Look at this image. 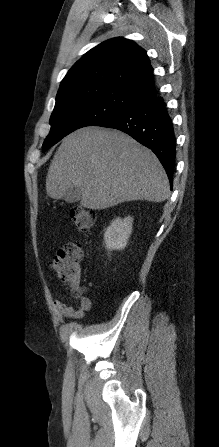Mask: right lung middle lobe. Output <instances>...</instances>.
<instances>
[{
	"mask_svg": "<svg viewBox=\"0 0 219 447\" xmlns=\"http://www.w3.org/2000/svg\"><path fill=\"white\" fill-rule=\"evenodd\" d=\"M139 102L138 98L111 86L77 85L60 89L42 151L76 129L97 125Z\"/></svg>",
	"mask_w": 219,
	"mask_h": 447,
	"instance_id": "1",
	"label": "right lung middle lobe"
}]
</instances>
